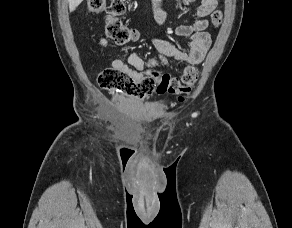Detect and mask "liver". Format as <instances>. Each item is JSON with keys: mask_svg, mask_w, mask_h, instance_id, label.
<instances>
[{"mask_svg": "<svg viewBox=\"0 0 292 228\" xmlns=\"http://www.w3.org/2000/svg\"><path fill=\"white\" fill-rule=\"evenodd\" d=\"M82 1L83 0H68L70 12L74 11Z\"/></svg>", "mask_w": 292, "mask_h": 228, "instance_id": "obj_1", "label": "liver"}]
</instances>
